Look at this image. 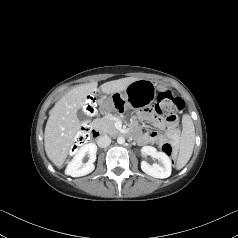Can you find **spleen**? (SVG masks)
Returning <instances> with one entry per match:
<instances>
[{
    "label": "spleen",
    "mask_w": 238,
    "mask_h": 238,
    "mask_svg": "<svg viewBox=\"0 0 238 238\" xmlns=\"http://www.w3.org/2000/svg\"><path fill=\"white\" fill-rule=\"evenodd\" d=\"M182 137L180 151L177 159V169L183 168L189 161L195 142V129L192 119L189 115H184L182 118Z\"/></svg>",
    "instance_id": "1"
}]
</instances>
